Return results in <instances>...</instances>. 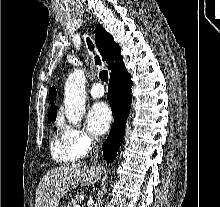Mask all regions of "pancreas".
Segmentation results:
<instances>
[{"instance_id": "obj_1", "label": "pancreas", "mask_w": 220, "mask_h": 207, "mask_svg": "<svg viewBox=\"0 0 220 207\" xmlns=\"http://www.w3.org/2000/svg\"><path fill=\"white\" fill-rule=\"evenodd\" d=\"M76 205H77L76 201L72 199V200L68 203L67 207H75Z\"/></svg>"}]
</instances>
